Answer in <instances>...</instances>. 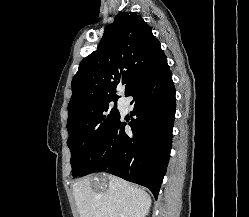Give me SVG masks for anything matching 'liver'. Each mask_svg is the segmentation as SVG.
<instances>
[{
    "label": "liver",
    "mask_w": 249,
    "mask_h": 217,
    "mask_svg": "<svg viewBox=\"0 0 249 217\" xmlns=\"http://www.w3.org/2000/svg\"><path fill=\"white\" fill-rule=\"evenodd\" d=\"M73 194L80 217H145L151 206L144 190L107 174L76 182Z\"/></svg>",
    "instance_id": "liver-1"
}]
</instances>
